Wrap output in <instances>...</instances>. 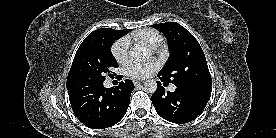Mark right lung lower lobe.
Segmentation results:
<instances>
[{"label":"right lung lower lobe","instance_id":"98d812e1","mask_svg":"<svg viewBox=\"0 0 276 138\" xmlns=\"http://www.w3.org/2000/svg\"><path fill=\"white\" fill-rule=\"evenodd\" d=\"M134 84L121 81L115 88L103 84L69 93L76 117L87 127L104 129L118 123L126 114Z\"/></svg>","mask_w":276,"mask_h":138}]
</instances>
